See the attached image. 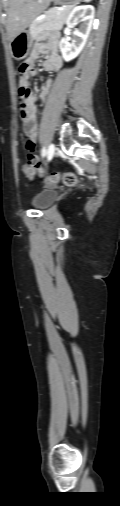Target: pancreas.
<instances>
[{
	"label": "pancreas",
	"instance_id": "pancreas-1",
	"mask_svg": "<svg viewBox=\"0 0 120 506\" xmlns=\"http://www.w3.org/2000/svg\"><path fill=\"white\" fill-rule=\"evenodd\" d=\"M71 8L66 7L64 9H59L57 7L51 8L46 12V15L43 19L39 21H34L30 25V34L33 38L37 37V35L43 31H58L61 30Z\"/></svg>",
	"mask_w": 120,
	"mask_h": 506
}]
</instances>
